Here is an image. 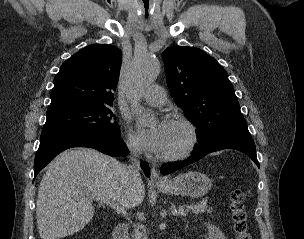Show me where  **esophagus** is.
Returning a JSON list of instances; mask_svg holds the SVG:
<instances>
[{"instance_id":"obj_1","label":"esophagus","mask_w":304,"mask_h":239,"mask_svg":"<svg viewBox=\"0 0 304 239\" xmlns=\"http://www.w3.org/2000/svg\"><path fill=\"white\" fill-rule=\"evenodd\" d=\"M150 180L153 184H163L165 183L164 178L160 176L157 169L154 166H151Z\"/></svg>"}]
</instances>
